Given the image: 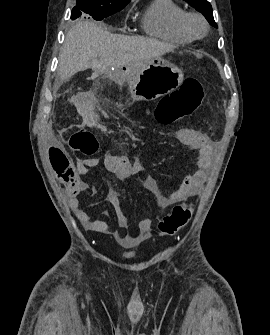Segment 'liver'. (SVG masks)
I'll return each mask as SVG.
<instances>
[{"mask_svg": "<svg viewBox=\"0 0 270 335\" xmlns=\"http://www.w3.org/2000/svg\"><path fill=\"white\" fill-rule=\"evenodd\" d=\"M173 48L153 38L111 34L94 22H77L67 32L59 54V76L67 80L88 68L109 72L111 68L125 66L133 78L150 60L172 52Z\"/></svg>", "mask_w": 270, "mask_h": 335, "instance_id": "1", "label": "liver"}]
</instances>
